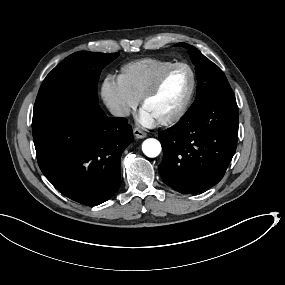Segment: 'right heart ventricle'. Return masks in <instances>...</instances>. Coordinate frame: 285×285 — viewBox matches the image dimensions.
Wrapping results in <instances>:
<instances>
[{"mask_svg":"<svg viewBox=\"0 0 285 285\" xmlns=\"http://www.w3.org/2000/svg\"><path fill=\"white\" fill-rule=\"evenodd\" d=\"M171 67L172 64L169 62L155 58H145L135 62L133 64L134 73L130 86L132 93L137 98H140Z\"/></svg>","mask_w":285,"mask_h":285,"instance_id":"e07e8e85","label":"right heart ventricle"}]
</instances>
